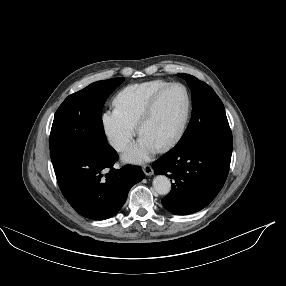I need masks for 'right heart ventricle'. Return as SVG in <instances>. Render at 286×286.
Listing matches in <instances>:
<instances>
[{"instance_id":"obj_1","label":"right heart ventricle","mask_w":286,"mask_h":286,"mask_svg":"<svg viewBox=\"0 0 286 286\" xmlns=\"http://www.w3.org/2000/svg\"><path fill=\"white\" fill-rule=\"evenodd\" d=\"M171 83L165 79H155L129 84L122 88L114 98V105L134 125L150 98L162 87Z\"/></svg>"}]
</instances>
